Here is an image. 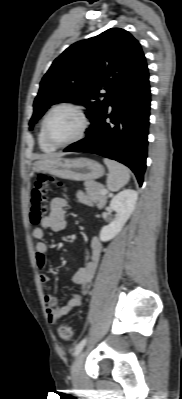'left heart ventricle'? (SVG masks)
I'll return each instance as SVG.
<instances>
[{"label": "left heart ventricle", "mask_w": 182, "mask_h": 399, "mask_svg": "<svg viewBox=\"0 0 182 399\" xmlns=\"http://www.w3.org/2000/svg\"><path fill=\"white\" fill-rule=\"evenodd\" d=\"M81 128L79 115L63 108L54 112L48 121V134L56 142H65L75 137Z\"/></svg>", "instance_id": "obj_1"}]
</instances>
